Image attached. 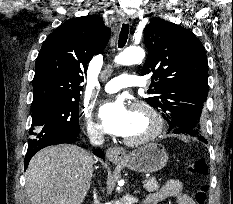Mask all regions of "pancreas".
I'll return each mask as SVG.
<instances>
[{
  "label": "pancreas",
  "instance_id": "cf45deb5",
  "mask_svg": "<svg viewBox=\"0 0 233 204\" xmlns=\"http://www.w3.org/2000/svg\"><path fill=\"white\" fill-rule=\"evenodd\" d=\"M143 187L148 191V192H154L159 189V184L156 181L155 178H149L144 181Z\"/></svg>",
  "mask_w": 233,
  "mask_h": 204
}]
</instances>
